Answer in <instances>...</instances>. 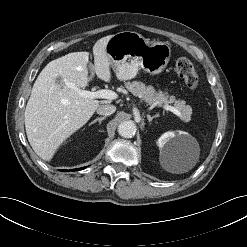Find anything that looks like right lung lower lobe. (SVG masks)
<instances>
[{"label": "right lung lower lobe", "instance_id": "98d812e1", "mask_svg": "<svg viewBox=\"0 0 247 247\" xmlns=\"http://www.w3.org/2000/svg\"><path fill=\"white\" fill-rule=\"evenodd\" d=\"M85 168V167H84ZM84 168H79L78 170H82V169H84ZM76 169H74L73 171H75ZM65 171V170H64Z\"/></svg>", "mask_w": 247, "mask_h": 247}]
</instances>
